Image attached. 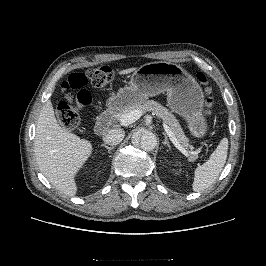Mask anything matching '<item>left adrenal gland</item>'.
<instances>
[{
	"mask_svg": "<svg viewBox=\"0 0 266 266\" xmlns=\"http://www.w3.org/2000/svg\"><path fill=\"white\" fill-rule=\"evenodd\" d=\"M164 134V136H165V139H164V141L162 142V144L163 145H166L168 148H169V150L171 149V147H170V144H169V141H168V137H167V135L165 134V133H163Z\"/></svg>",
	"mask_w": 266,
	"mask_h": 266,
	"instance_id": "a2214340",
	"label": "left adrenal gland"
}]
</instances>
